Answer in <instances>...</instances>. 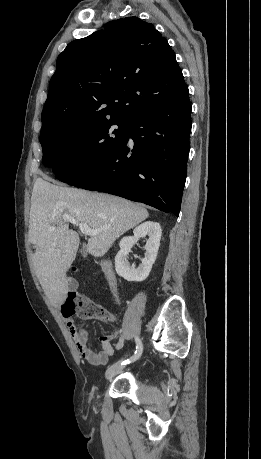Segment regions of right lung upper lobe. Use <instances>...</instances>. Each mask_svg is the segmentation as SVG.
<instances>
[{"mask_svg":"<svg viewBox=\"0 0 261 459\" xmlns=\"http://www.w3.org/2000/svg\"><path fill=\"white\" fill-rule=\"evenodd\" d=\"M184 77L167 40L137 17L74 40L57 59L41 133L133 117L173 99Z\"/></svg>","mask_w":261,"mask_h":459,"instance_id":"obj_1","label":"right lung upper lobe"}]
</instances>
